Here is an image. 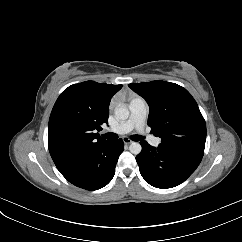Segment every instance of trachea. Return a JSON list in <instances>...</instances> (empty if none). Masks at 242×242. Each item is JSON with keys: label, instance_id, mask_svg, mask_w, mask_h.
Wrapping results in <instances>:
<instances>
[{"label": "trachea", "instance_id": "trachea-1", "mask_svg": "<svg viewBox=\"0 0 242 242\" xmlns=\"http://www.w3.org/2000/svg\"><path fill=\"white\" fill-rule=\"evenodd\" d=\"M103 137L106 138V139H108V140H115V139L118 138V136L116 134H114V133H106V134L103 135ZM131 139L133 141H140V140L143 139V137L140 136V135H133L131 137Z\"/></svg>", "mask_w": 242, "mask_h": 242}]
</instances>
